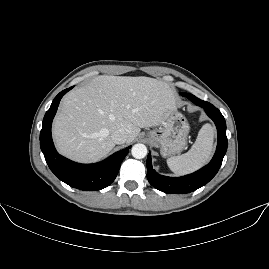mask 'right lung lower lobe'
Segmentation results:
<instances>
[{
	"mask_svg": "<svg viewBox=\"0 0 269 269\" xmlns=\"http://www.w3.org/2000/svg\"><path fill=\"white\" fill-rule=\"evenodd\" d=\"M72 87L60 92L46 112L40 132V146L51 171L64 183L71 187L96 191L109 186L116 178L120 165L131 146L114 153L108 159L96 164H78L61 156L56 151L52 137L51 125L59 102Z\"/></svg>",
	"mask_w": 269,
	"mask_h": 269,
	"instance_id": "right-lung-lower-lobe-1",
	"label": "right lung lower lobe"
}]
</instances>
